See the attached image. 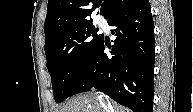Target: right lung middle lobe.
Instances as JSON below:
<instances>
[{
    "label": "right lung middle lobe",
    "instance_id": "right-lung-middle-lobe-1",
    "mask_svg": "<svg viewBox=\"0 0 193 112\" xmlns=\"http://www.w3.org/2000/svg\"><path fill=\"white\" fill-rule=\"evenodd\" d=\"M92 23L64 29L45 42L47 69L56 103L68 98L104 37Z\"/></svg>",
    "mask_w": 193,
    "mask_h": 112
}]
</instances>
